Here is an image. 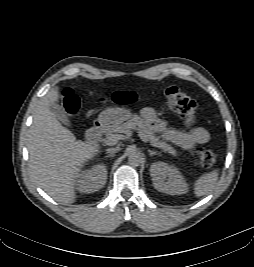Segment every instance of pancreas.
Segmentation results:
<instances>
[{"mask_svg": "<svg viewBox=\"0 0 254 267\" xmlns=\"http://www.w3.org/2000/svg\"><path fill=\"white\" fill-rule=\"evenodd\" d=\"M139 130L142 134H144L146 138V142H150V144L154 147L162 149L164 152H167L173 156L177 155L176 150L171 147L169 144L160 140V137L156 136L151 130L145 127L144 121L139 116L135 115L131 120L123 123L116 124L108 127L106 129V137L112 136H120V134H126L130 130Z\"/></svg>", "mask_w": 254, "mask_h": 267, "instance_id": "cf45deb5", "label": "pancreas"}]
</instances>
